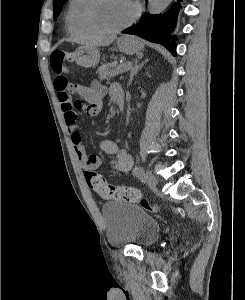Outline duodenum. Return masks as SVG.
Returning a JSON list of instances; mask_svg holds the SVG:
<instances>
[{"instance_id": "1", "label": "duodenum", "mask_w": 245, "mask_h": 300, "mask_svg": "<svg viewBox=\"0 0 245 300\" xmlns=\"http://www.w3.org/2000/svg\"><path fill=\"white\" fill-rule=\"evenodd\" d=\"M114 100L116 102L117 107L119 108V110H123L124 107V96L122 92H117L115 94Z\"/></svg>"}]
</instances>
